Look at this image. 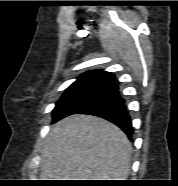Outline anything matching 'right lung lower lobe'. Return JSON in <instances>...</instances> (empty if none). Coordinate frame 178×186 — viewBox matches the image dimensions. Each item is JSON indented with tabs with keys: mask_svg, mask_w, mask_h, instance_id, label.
Listing matches in <instances>:
<instances>
[{
	"mask_svg": "<svg viewBox=\"0 0 178 186\" xmlns=\"http://www.w3.org/2000/svg\"><path fill=\"white\" fill-rule=\"evenodd\" d=\"M72 114L98 116L120 127L129 137L133 134V127L125 100L120 96L117 84Z\"/></svg>",
	"mask_w": 178,
	"mask_h": 186,
	"instance_id": "right-lung-lower-lobe-1",
	"label": "right lung lower lobe"
}]
</instances>
